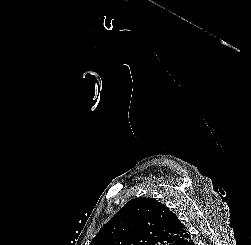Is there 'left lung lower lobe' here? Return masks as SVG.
I'll list each match as a JSON object with an SVG mask.
<instances>
[{
	"mask_svg": "<svg viewBox=\"0 0 251 245\" xmlns=\"http://www.w3.org/2000/svg\"><path fill=\"white\" fill-rule=\"evenodd\" d=\"M173 245H194L190 235L186 232Z\"/></svg>",
	"mask_w": 251,
	"mask_h": 245,
	"instance_id": "1",
	"label": "left lung lower lobe"
}]
</instances>
